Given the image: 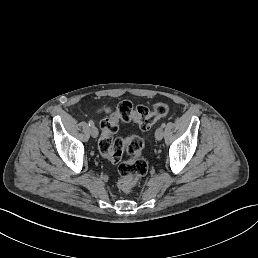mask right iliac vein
<instances>
[{"label":"right iliac vein","mask_w":258,"mask_h":258,"mask_svg":"<svg viewBox=\"0 0 258 258\" xmlns=\"http://www.w3.org/2000/svg\"><path fill=\"white\" fill-rule=\"evenodd\" d=\"M89 132L92 134L93 138H98V129L95 126H92L89 129Z\"/></svg>","instance_id":"63e3f726"}]
</instances>
